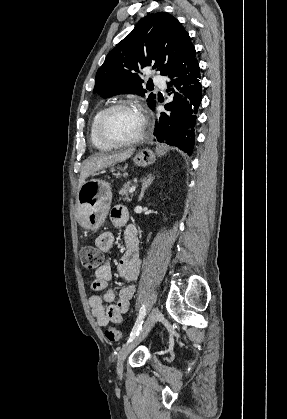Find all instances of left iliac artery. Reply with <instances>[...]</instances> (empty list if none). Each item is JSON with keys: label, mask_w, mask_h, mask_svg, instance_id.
Returning <instances> with one entry per match:
<instances>
[{"label": "left iliac artery", "mask_w": 287, "mask_h": 419, "mask_svg": "<svg viewBox=\"0 0 287 419\" xmlns=\"http://www.w3.org/2000/svg\"><path fill=\"white\" fill-rule=\"evenodd\" d=\"M145 314H146V308H145V305L143 304L141 309H140L139 316L136 320L135 326L133 327L132 332L130 334L128 342L131 339H133L136 335H138L139 331L142 328V323H143V319L145 317Z\"/></svg>", "instance_id": "1"}]
</instances>
